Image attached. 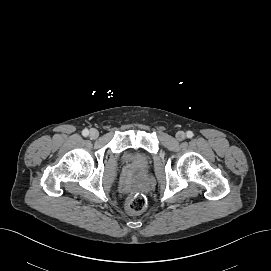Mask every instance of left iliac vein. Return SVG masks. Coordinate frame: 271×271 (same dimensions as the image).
Here are the masks:
<instances>
[{
	"label": "left iliac vein",
	"mask_w": 271,
	"mask_h": 271,
	"mask_svg": "<svg viewBox=\"0 0 271 271\" xmlns=\"http://www.w3.org/2000/svg\"><path fill=\"white\" fill-rule=\"evenodd\" d=\"M185 137H186V135H185V133H184L183 131H178V132L176 133V139H177L178 141L184 140Z\"/></svg>",
	"instance_id": "obj_1"
}]
</instances>
